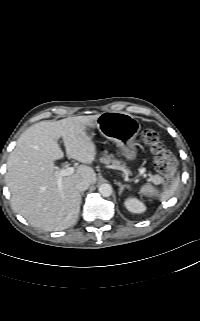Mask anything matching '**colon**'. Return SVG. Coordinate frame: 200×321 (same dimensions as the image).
Wrapping results in <instances>:
<instances>
[{
  "mask_svg": "<svg viewBox=\"0 0 200 321\" xmlns=\"http://www.w3.org/2000/svg\"><path fill=\"white\" fill-rule=\"evenodd\" d=\"M143 142L149 146L154 155L156 170L167 180H170L173 176L175 159L160 141L158 133L154 130L145 131L143 134Z\"/></svg>",
  "mask_w": 200,
  "mask_h": 321,
  "instance_id": "obj_1",
  "label": "colon"
}]
</instances>
